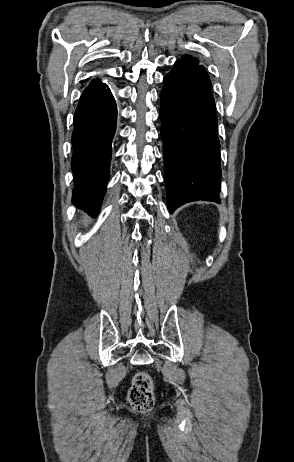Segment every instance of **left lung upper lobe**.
Listing matches in <instances>:
<instances>
[{"label":"left lung upper lobe","instance_id":"1","mask_svg":"<svg viewBox=\"0 0 294 462\" xmlns=\"http://www.w3.org/2000/svg\"><path fill=\"white\" fill-rule=\"evenodd\" d=\"M183 58L193 59V58L190 57V56H185V57H183ZM193 60H197V59H193Z\"/></svg>","mask_w":294,"mask_h":462}]
</instances>
